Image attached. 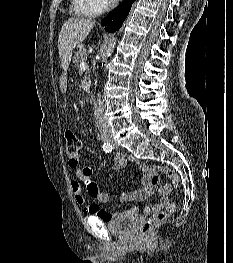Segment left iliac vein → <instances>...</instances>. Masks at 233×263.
Masks as SVG:
<instances>
[{"label": "left iliac vein", "mask_w": 233, "mask_h": 263, "mask_svg": "<svg viewBox=\"0 0 233 263\" xmlns=\"http://www.w3.org/2000/svg\"><path fill=\"white\" fill-rule=\"evenodd\" d=\"M111 143L113 144L114 147H117V144L113 140H111Z\"/></svg>", "instance_id": "1"}]
</instances>
